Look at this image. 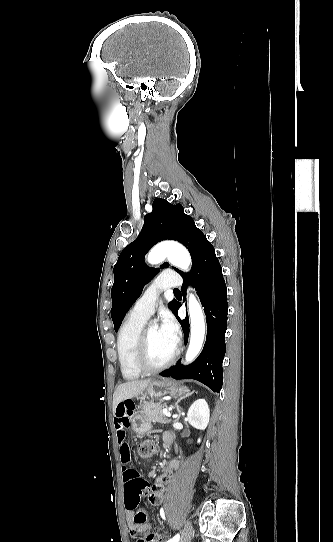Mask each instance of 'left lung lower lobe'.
<instances>
[{"instance_id": "obj_1", "label": "left lung lower lobe", "mask_w": 333, "mask_h": 542, "mask_svg": "<svg viewBox=\"0 0 333 542\" xmlns=\"http://www.w3.org/2000/svg\"><path fill=\"white\" fill-rule=\"evenodd\" d=\"M183 281L184 300L187 286L191 284L204 307L207 321L206 342L201 354L192 364L183 366L178 361L176 366L162 372L161 376L195 379L214 392H220L223 383L222 362L226 353L227 290L221 265L209 241L202 247L195 267L183 276ZM180 306L181 303L177 301L175 316L182 326L186 344L189 336V319L188 315L184 320L179 319L177 311Z\"/></svg>"}]
</instances>
